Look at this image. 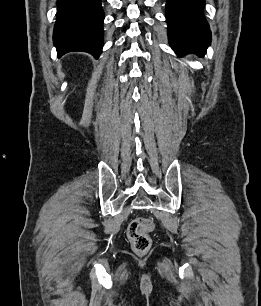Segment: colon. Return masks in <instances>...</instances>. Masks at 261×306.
<instances>
[{"label": "colon", "instance_id": "obj_1", "mask_svg": "<svg viewBox=\"0 0 261 306\" xmlns=\"http://www.w3.org/2000/svg\"><path fill=\"white\" fill-rule=\"evenodd\" d=\"M153 229V223L148 218H136L128 226L127 237L133 251L137 254H145L151 247L149 232Z\"/></svg>", "mask_w": 261, "mask_h": 306}]
</instances>
